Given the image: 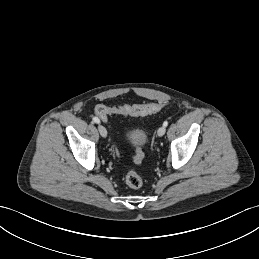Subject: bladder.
I'll return each instance as SVG.
<instances>
[{"instance_id": "obj_1", "label": "bladder", "mask_w": 259, "mask_h": 259, "mask_svg": "<svg viewBox=\"0 0 259 259\" xmlns=\"http://www.w3.org/2000/svg\"><path fill=\"white\" fill-rule=\"evenodd\" d=\"M129 140L134 146H143L147 141V134L140 129L129 131Z\"/></svg>"}]
</instances>
